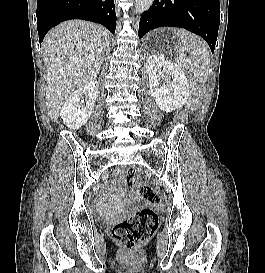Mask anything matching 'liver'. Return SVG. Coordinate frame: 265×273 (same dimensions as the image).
Returning <instances> with one entry per match:
<instances>
[{"mask_svg":"<svg viewBox=\"0 0 265 273\" xmlns=\"http://www.w3.org/2000/svg\"><path fill=\"white\" fill-rule=\"evenodd\" d=\"M109 44L104 27L83 20L65 21L48 32L42 47L52 121H57L64 101L77 88L97 77Z\"/></svg>","mask_w":265,"mask_h":273,"instance_id":"liver-1","label":"liver"}]
</instances>
